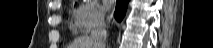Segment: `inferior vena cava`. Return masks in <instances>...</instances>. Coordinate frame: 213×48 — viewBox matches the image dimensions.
Segmentation results:
<instances>
[{
  "mask_svg": "<svg viewBox=\"0 0 213 48\" xmlns=\"http://www.w3.org/2000/svg\"><path fill=\"white\" fill-rule=\"evenodd\" d=\"M104 14L97 12L94 17L93 28L91 31V40L95 48H105L107 32L105 29Z\"/></svg>",
  "mask_w": 213,
  "mask_h": 48,
  "instance_id": "602c4592",
  "label": "inferior vena cava"
}]
</instances>
